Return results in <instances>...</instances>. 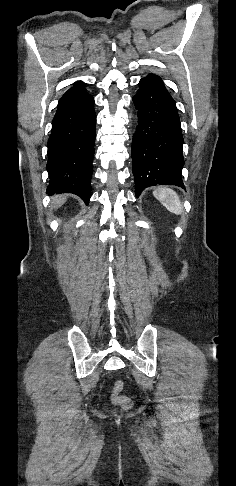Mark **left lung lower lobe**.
Masks as SVG:
<instances>
[{
	"instance_id": "obj_1",
	"label": "left lung lower lobe",
	"mask_w": 236,
	"mask_h": 486,
	"mask_svg": "<svg viewBox=\"0 0 236 486\" xmlns=\"http://www.w3.org/2000/svg\"><path fill=\"white\" fill-rule=\"evenodd\" d=\"M133 97L138 126L132 140L136 197L149 186L184 188L183 137L176 104L162 80L144 77Z\"/></svg>"
}]
</instances>
